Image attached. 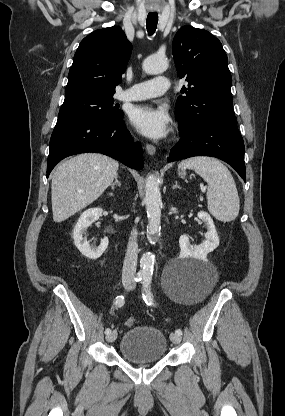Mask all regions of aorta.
I'll list each match as a JSON object with an SVG mask.
<instances>
[{
	"label": "aorta",
	"instance_id": "aorta-1",
	"mask_svg": "<svg viewBox=\"0 0 285 416\" xmlns=\"http://www.w3.org/2000/svg\"><path fill=\"white\" fill-rule=\"evenodd\" d=\"M168 68V61L165 57L151 55L143 62V70L150 75L163 73ZM148 226L147 238L154 241L160 234L161 229V193L158 181L154 175H148L145 183V198ZM155 256L150 253H144L140 259V274L143 276H152L154 270Z\"/></svg>",
	"mask_w": 285,
	"mask_h": 416
}]
</instances>
